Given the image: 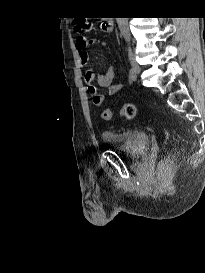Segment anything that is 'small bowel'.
<instances>
[{
  "label": "small bowel",
  "mask_w": 205,
  "mask_h": 273,
  "mask_svg": "<svg viewBox=\"0 0 205 273\" xmlns=\"http://www.w3.org/2000/svg\"><path fill=\"white\" fill-rule=\"evenodd\" d=\"M95 43L96 39L94 38L89 39L84 36H79L76 38L75 46L82 65L86 64L89 60V52L87 47ZM114 77L115 70L113 66H109L103 74L99 75H96L90 70L84 73V81L88 84V91L92 96V102L94 105L100 106L105 101V95L98 91L97 87L94 85L95 82L99 87L106 88L107 94L110 96L117 94L121 90V84L114 83Z\"/></svg>",
  "instance_id": "c3829d8e"
}]
</instances>
